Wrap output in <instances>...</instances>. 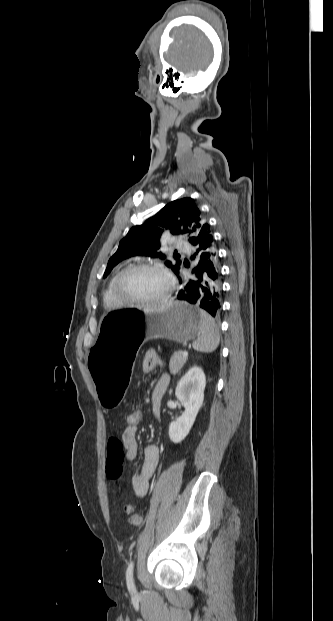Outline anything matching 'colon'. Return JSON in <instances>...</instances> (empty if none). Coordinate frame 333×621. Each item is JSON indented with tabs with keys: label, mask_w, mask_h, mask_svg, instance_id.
Here are the masks:
<instances>
[{
	"label": "colon",
	"mask_w": 333,
	"mask_h": 621,
	"mask_svg": "<svg viewBox=\"0 0 333 621\" xmlns=\"http://www.w3.org/2000/svg\"><path fill=\"white\" fill-rule=\"evenodd\" d=\"M142 420V412L140 409H129L126 414V421L128 425L137 426ZM124 512L129 516V521L134 526H139L142 523V516L135 512L134 508L130 504H125Z\"/></svg>",
	"instance_id": "5ec220e1"
}]
</instances>
